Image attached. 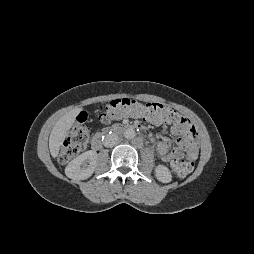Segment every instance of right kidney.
<instances>
[{
	"label": "right kidney",
	"instance_id": "ca27d5eb",
	"mask_svg": "<svg viewBox=\"0 0 254 254\" xmlns=\"http://www.w3.org/2000/svg\"><path fill=\"white\" fill-rule=\"evenodd\" d=\"M97 158L96 151L89 150L82 153L66 166V176L75 180L89 178L95 170Z\"/></svg>",
	"mask_w": 254,
	"mask_h": 254
}]
</instances>
